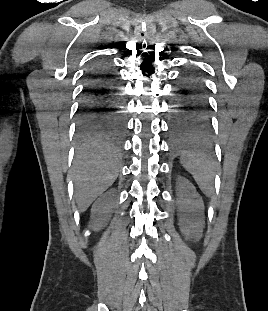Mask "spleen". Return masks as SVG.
Instances as JSON below:
<instances>
[{"mask_svg": "<svg viewBox=\"0 0 268 311\" xmlns=\"http://www.w3.org/2000/svg\"><path fill=\"white\" fill-rule=\"evenodd\" d=\"M184 168L190 172L204 194L213 190L214 169L209 158L199 153H189L181 158Z\"/></svg>", "mask_w": 268, "mask_h": 311, "instance_id": "3e777b00", "label": "spleen"}]
</instances>
